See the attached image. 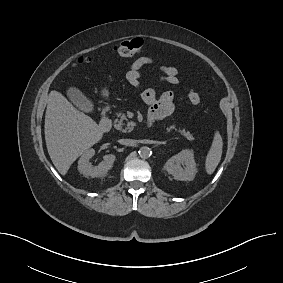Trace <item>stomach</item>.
Listing matches in <instances>:
<instances>
[{
	"instance_id": "0dacf381",
	"label": "stomach",
	"mask_w": 283,
	"mask_h": 283,
	"mask_svg": "<svg viewBox=\"0 0 283 283\" xmlns=\"http://www.w3.org/2000/svg\"><path fill=\"white\" fill-rule=\"evenodd\" d=\"M101 93H102V95H103L104 97H108V95H109V92H108V90H107L106 88H103L102 91H101Z\"/></svg>"
}]
</instances>
